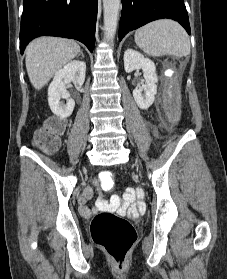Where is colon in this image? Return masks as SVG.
Wrapping results in <instances>:
<instances>
[{
  "label": "colon",
  "instance_id": "obj_1",
  "mask_svg": "<svg viewBox=\"0 0 227 279\" xmlns=\"http://www.w3.org/2000/svg\"><path fill=\"white\" fill-rule=\"evenodd\" d=\"M65 122L51 118L46 121L44 128L34 136V143L46 153L59 149L60 134L64 131ZM104 189H111L116 183V177L110 172H103L99 179ZM136 194L135 190L125 192L127 196ZM91 234L94 241L117 263L126 262L128 253L136 239V232L131 223L112 212L98 213L91 224Z\"/></svg>",
  "mask_w": 227,
  "mask_h": 279
}]
</instances>
